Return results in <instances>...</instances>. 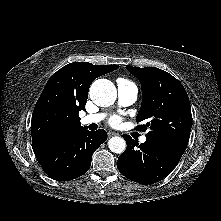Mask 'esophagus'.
Instances as JSON below:
<instances>
[{
    "mask_svg": "<svg viewBox=\"0 0 221 221\" xmlns=\"http://www.w3.org/2000/svg\"><path fill=\"white\" fill-rule=\"evenodd\" d=\"M116 135H118V133L113 132V131L108 132V137H112V136H116Z\"/></svg>",
    "mask_w": 221,
    "mask_h": 221,
    "instance_id": "34e87169",
    "label": "esophagus"
}]
</instances>
